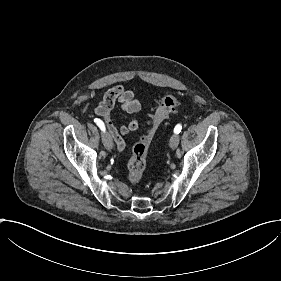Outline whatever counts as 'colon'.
<instances>
[{"instance_id":"obj_1","label":"colon","mask_w":281,"mask_h":281,"mask_svg":"<svg viewBox=\"0 0 281 281\" xmlns=\"http://www.w3.org/2000/svg\"><path fill=\"white\" fill-rule=\"evenodd\" d=\"M178 98L172 94H166L160 100L158 106L149 115L146 126L135 146L128 166L127 176L130 182H138L146 168V161L150 151V145L160 124L177 107Z\"/></svg>"}]
</instances>
